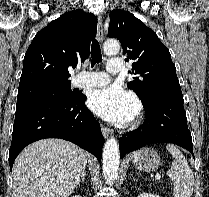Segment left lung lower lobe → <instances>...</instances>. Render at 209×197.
<instances>
[{
	"label": "left lung lower lobe",
	"instance_id": "0a47b994",
	"mask_svg": "<svg viewBox=\"0 0 209 197\" xmlns=\"http://www.w3.org/2000/svg\"><path fill=\"white\" fill-rule=\"evenodd\" d=\"M183 103V96H159L143 104L146 120L139 128L120 138V157L153 143L177 144L193 155Z\"/></svg>",
	"mask_w": 209,
	"mask_h": 197
}]
</instances>
